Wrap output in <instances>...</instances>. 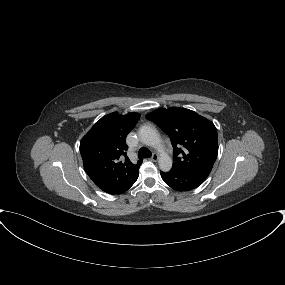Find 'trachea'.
<instances>
[{"label":"trachea","instance_id":"1","mask_svg":"<svg viewBox=\"0 0 285 285\" xmlns=\"http://www.w3.org/2000/svg\"><path fill=\"white\" fill-rule=\"evenodd\" d=\"M151 152L147 149V148H140L139 151H138V157L139 158H148V157H151Z\"/></svg>","mask_w":285,"mask_h":285}]
</instances>
